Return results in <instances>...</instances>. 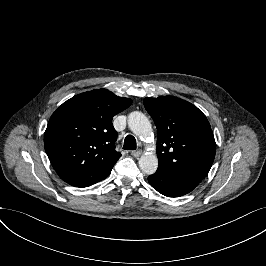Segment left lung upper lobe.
<instances>
[{"mask_svg": "<svg viewBox=\"0 0 266 266\" xmlns=\"http://www.w3.org/2000/svg\"><path fill=\"white\" fill-rule=\"evenodd\" d=\"M144 106L157 127V170L198 185L209 172L216 153L205 115L174 96L145 98Z\"/></svg>", "mask_w": 266, "mask_h": 266, "instance_id": "left-lung-upper-lobe-1", "label": "left lung upper lobe"}]
</instances>
